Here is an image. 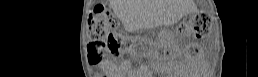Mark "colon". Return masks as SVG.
Listing matches in <instances>:
<instances>
[{
  "mask_svg": "<svg viewBox=\"0 0 258 77\" xmlns=\"http://www.w3.org/2000/svg\"><path fill=\"white\" fill-rule=\"evenodd\" d=\"M210 25L211 15L201 12L194 15L188 24L182 26V29L202 39L209 34ZM116 27L117 21L108 9L97 7L92 10L89 17L90 63L95 64L101 61L105 50L114 53L127 47L128 44L115 34Z\"/></svg>",
  "mask_w": 258,
  "mask_h": 77,
  "instance_id": "colon-1",
  "label": "colon"
}]
</instances>
